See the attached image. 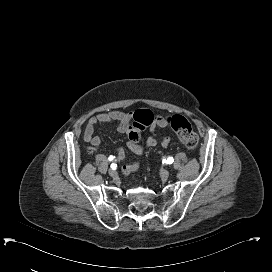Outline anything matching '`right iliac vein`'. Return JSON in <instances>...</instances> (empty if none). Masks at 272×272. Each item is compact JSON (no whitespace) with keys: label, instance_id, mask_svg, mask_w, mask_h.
Here are the masks:
<instances>
[{"label":"right iliac vein","instance_id":"63e3f726","mask_svg":"<svg viewBox=\"0 0 272 272\" xmlns=\"http://www.w3.org/2000/svg\"><path fill=\"white\" fill-rule=\"evenodd\" d=\"M109 175L114 178V177L117 176V172L115 170H113V169H110L109 170Z\"/></svg>","mask_w":272,"mask_h":272}]
</instances>
